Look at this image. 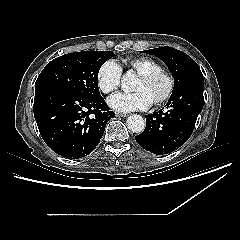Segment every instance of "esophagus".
Returning <instances> with one entry per match:
<instances>
[{
    "mask_svg": "<svg viewBox=\"0 0 240 240\" xmlns=\"http://www.w3.org/2000/svg\"><path fill=\"white\" fill-rule=\"evenodd\" d=\"M116 116H118V117H127L128 115H127V114H124V113H119V112H117V113H116Z\"/></svg>",
    "mask_w": 240,
    "mask_h": 240,
    "instance_id": "esophagus-1",
    "label": "esophagus"
}]
</instances>
